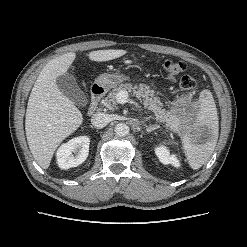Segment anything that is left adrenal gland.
<instances>
[{"label": "left adrenal gland", "mask_w": 247, "mask_h": 247, "mask_svg": "<svg viewBox=\"0 0 247 247\" xmlns=\"http://www.w3.org/2000/svg\"><path fill=\"white\" fill-rule=\"evenodd\" d=\"M158 128H160L159 125H150L149 127H147L146 132H147V133H150V132L155 131V130L158 129Z\"/></svg>", "instance_id": "left-adrenal-gland-1"}]
</instances>
